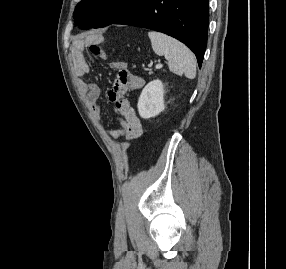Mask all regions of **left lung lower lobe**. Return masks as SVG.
Instances as JSON below:
<instances>
[{"label":"left lung lower lobe","instance_id":"obj_1","mask_svg":"<svg viewBox=\"0 0 286 269\" xmlns=\"http://www.w3.org/2000/svg\"><path fill=\"white\" fill-rule=\"evenodd\" d=\"M208 3L209 0H143L113 24L148 28L170 35L194 52L201 67L207 43Z\"/></svg>","mask_w":286,"mask_h":269}]
</instances>
